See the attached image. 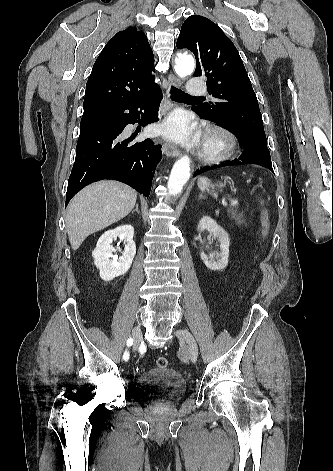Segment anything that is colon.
<instances>
[{"mask_svg": "<svg viewBox=\"0 0 333 471\" xmlns=\"http://www.w3.org/2000/svg\"><path fill=\"white\" fill-rule=\"evenodd\" d=\"M261 226H262V237L265 238L269 232V220L266 213H263L261 216ZM156 364L159 368H166L168 366V360L160 356L156 360Z\"/></svg>", "mask_w": 333, "mask_h": 471, "instance_id": "5ec220e1", "label": "colon"}]
</instances>
